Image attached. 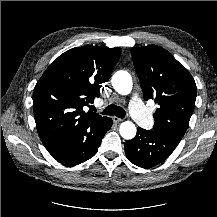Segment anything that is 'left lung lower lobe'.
Returning a JSON list of instances; mask_svg holds the SVG:
<instances>
[{"instance_id": "0a47b994", "label": "left lung lower lobe", "mask_w": 217, "mask_h": 217, "mask_svg": "<svg viewBox=\"0 0 217 217\" xmlns=\"http://www.w3.org/2000/svg\"><path fill=\"white\" fill-rule=\"evenodd\" d=\"M179 142L160 131L138 127L135 138L125 142V153L134 165L150 168L169 157Z\"/></svg>"}]
</instances>
